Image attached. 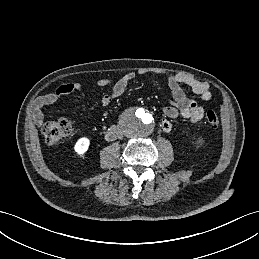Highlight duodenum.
Returning a JSON list of instances; mask_svg holds the SVG:
<instances>
[{"label": "duodenum", "instance_id": "obj_1", "mask_svg": "<svg viewBox=\"0 0 259 259\" xmlns=\"http://www.w3.org/2000/svg\"><path fill=\"white\" fill-rule=\"evenodd\" d=\"M119 131L116 127H112L105 135L106 140L111 141L116 139Z\"/></svg>", "mask_w": 259, "mask_h": 259}]
</instances>
